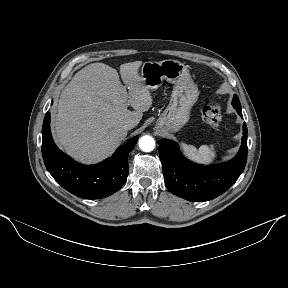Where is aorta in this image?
I'll use <instances>...</instances> for the list:
<instances>
[{
	"label": "aorta",
	"instance_id": "obj_1",
	"mask_svg": "<svg viewBox=\"0 0 288 288\" xmlns=\"http://www.w3.org/2000/svg\"><path fill=\"white\" fill-rule=\"evenodd\" d=\"M139 147L144 152H150L155 148V141L151 136H143L139 140Z\"/></svg>",
	"mask_w": 288,
	"mask_h": 288
}]
</instances>
